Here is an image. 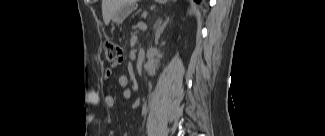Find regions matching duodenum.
Here are the masks:
<instances>
[{
  "label": "duodenum",
  "mask_w": 325,
  "mask_h": 136,
  "mask_svg": "<svg viewBox=\"0 0 325 136\" xmlns=\"http://www.w3.org/2000/svg\"><path fill=\"white\" fill-rule=\"evenodd\" d=\"M147 53L144 49L139 50L136 61V71L141 73L144 71Z\"/></svg>",
  "instance_id": "1"
}]
</instances>
